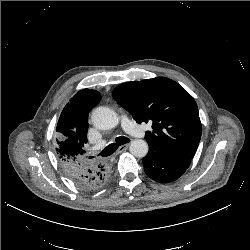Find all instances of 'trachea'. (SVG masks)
<instances>
[{
  "mask_svg": "<svg viewBox=\"0 0 250 250\" xmlns=\"http://www.w3.org/2000/svg\"><path fill=\"white\" fill-rule=\"evenodd\" d=\"M130 142V139L127 138V137H124V136H120V137H117L115 139V142L114 143H111L110 145H108L101 153H100V156L101 157H108L110 155H112L117 149H118V146H121L123 144H126Z\"/></svg>",
  "mask_w": 250,
  "mask_h": 250,
  "instance_id": "obj_1",
  "label": "trachea"
}]
</instances>
